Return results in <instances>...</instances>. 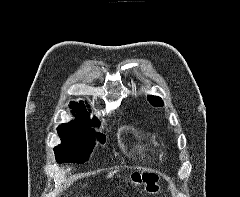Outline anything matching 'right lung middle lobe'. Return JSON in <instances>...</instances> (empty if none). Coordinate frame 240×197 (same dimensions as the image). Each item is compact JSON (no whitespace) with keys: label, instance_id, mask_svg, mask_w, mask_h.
<instances>
[{"label":"right lung middle lobe","instance_id":"dd1d6c3e","mask_svg":"<svg viewBox=\"0 0 240 197\" xmlns=\"http://www.w3.org/2000/svg\"><path fill=\"white\" fill-rule=\"evenodd\" d=\"M58 134L62 143L54 147L56 160L58 163H84L88 160L94 142V131L88 128H72L59 126L57 128ZM98 140L103 144L106 137L98 133Z\"/></svg>","mask_w":240,"mask_h":197}]
</instances>
